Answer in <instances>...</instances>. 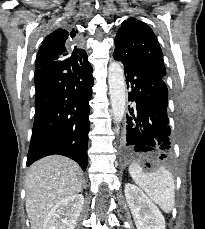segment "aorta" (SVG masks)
I'll list each match as a JSON object with an SVG mask.
<instances>
[{
	"instance_id": "1",
	"label": "aorta",
	"mask_w": 205,
	"mask_h": 229,
	"mask_svg": "<svg viewBox=\"0 0 205 229\" xmlns=\"http://www.w3.org/2000/svg\"><path fill=\"white\" fill-rule=\"evenodd\" d=\"M109 94L112 113L116 122L122 121L126 106V84L121 63L112 62L108 68Z\"/></svg>"
}]
</instances>
